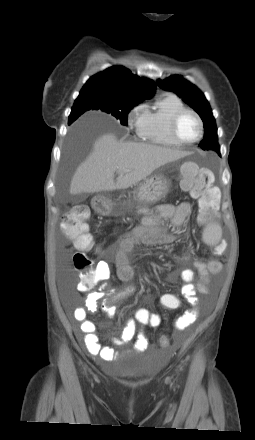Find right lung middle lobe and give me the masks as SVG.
<instances>
[{
  "mask_svg": "<svg viewBox=\"0 0 255 440\" xmlns=\"http://www.w3.org/2000/svg\"><path fill=\"white\" fill-rule=\"evenodd\" d=\"M140 102H124L120 100L105 99L95 95H79L72 107L71 115L75 120L88 110H100L117 118L122 125H127V114ZM74 120V121H75Z\"/></svg>",
  "mask_w": 255,
  "mask_h": 440,
  "instance_id": "obj_1",
  "label": "right lung middle lobe"
}]
</instances>
